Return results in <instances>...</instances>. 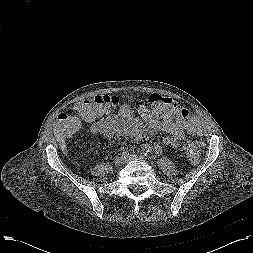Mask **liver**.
Segmentation results:
<instances>
[{"label": "liver", "mask_w": 253, "mask_h": 253, "mask_svg": "<svg viewBox=\"0 0 253 253\" xmlns=\"http://www.w3.org/2000/svg\"><path fill=\"white\" fill-rule=\"evenodd\" d=\"M54 135L56 137V140L59 142V143H63V137H62V134L59 132V130L55 127L54 128Z\"/></svg>", "instance_id": "liver-1"}]
</instances>
